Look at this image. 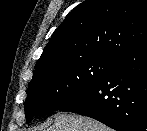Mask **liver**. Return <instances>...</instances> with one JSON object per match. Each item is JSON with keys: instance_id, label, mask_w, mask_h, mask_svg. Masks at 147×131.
<instances>
[{"instance_id": "obj_1", "label": "liver", "mask_w": 147, "mask_h": 131, "mask_svg": "<svg viewBox=\"0 0 147 131\" xmlns=\"http://www.w3.org/2000/svg\"><path fill=\"white\" fill-rule=\"evenodd\" d=\"M54 118L47 131H111L104 124L81 115L57 113Z\"/></svg>"}]
</instances>
